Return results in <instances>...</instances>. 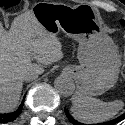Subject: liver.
I'll use <instances>...</instances> for the list:
<instances>
[{"instance_id":"obj_1","label":"liver","mask_w":125,"mask_h":125,"mask_svg":"<svg viewBox=\"0 0 125 125\" xmlns=\"http://www.w3.org/2000/svg\"><path fill=\"white\" fill-rule=\"evenodd\" d=\"M56 35L48 33L30 10L16 17L7 31L0 23V113L13 111L19 103L28 72L41 74L40 64L63 58ZM35 59L39 64L32 63Z\"/></svg>"}]
</instances>
